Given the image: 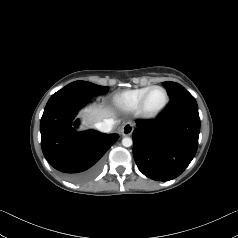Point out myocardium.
<instances>
[{
    "label": "myocardium",
    "mask_w": 238,
    "mask_h": 238,
    "mask_svg": "<svg viewBox=\"0 0 238 238\" xmlns=\"http://www.w3.org/2000/svg\"><path fill=\"white\" fill-rule=\"evenodd\" d=\"M155 89H161L164 92L165 100L163 105L159 109L155 111H149L146 107L147 99L150 93ZM168 103H169V94L167 90L163 86L154 85V86H151L141 98L137 111L139 115L145 119H154V118H157L166 109V107L168 106Z\"/></svg>",
    "instance_id": "myocardium-1"
}]
</instances>
